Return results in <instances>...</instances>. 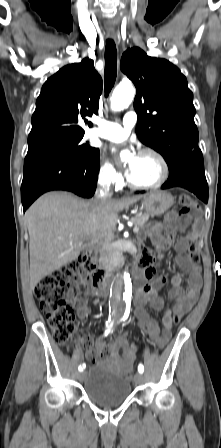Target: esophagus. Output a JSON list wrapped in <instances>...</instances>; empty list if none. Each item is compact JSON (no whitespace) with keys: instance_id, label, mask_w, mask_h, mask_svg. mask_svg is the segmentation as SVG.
Segmentation results:
<instances>
[{"instance_id":"esophagus-1","label":"esophagus","mask_w":221,"mask_h":448,"mask_svg":"<svg viewBox=\"0 0 221 448\" xmlns=\"http://www.w3.org/2000/svg\"><path fill=\"white\" fill-rule=\"evenodd\" d=\"M108 37H109L110 39H115V38H116L115 35H109Z\"/></svg>"}]
</instances>
